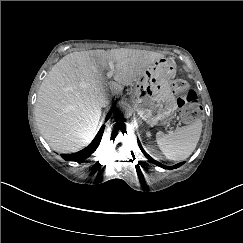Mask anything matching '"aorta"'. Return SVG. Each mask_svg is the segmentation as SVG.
<instances>
[{
	"label": "aorta",
	"instance_id": "obj_1",
	"mask_svg": "<svg viewBox=\"0 0 243 243\" xmlns=\"http://www.w3.org/2000/svg\"><path fill=\"white\" fill-rule=\"evenodd\" d=\"M115 112L119 116H126L130 112V105L125 100H120L115 105Z\"/></svg>",
	"mask_w": 243,
	"mask_h": 243
}]
</instances>
